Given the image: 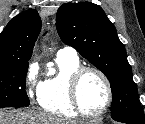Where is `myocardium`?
<instances>
[{"mask_svg": "<svg viewBox=\"0 0 145 124\" xmlns=\"http://www.w3.org/2000/svg\"><path fill=\"white\" fill-rule=\"evenodd\" d=\"M88 73H94L97 76H99L100 79L103 81L107 91V101L104 107L97 113L86 112L82 108L80 102V85L83 78ZM69 96H70L71 104L74 110L76 111V113L88 119H97L102 117L108 111V109L110 108L113 102V90L109 78L102 70L92 66H81L71 74L69 79Z\"/></svg>", "mask_w": 145, "mask_h": 124, "instance_id": "1", "label": "myocardium"}]
</instances>
